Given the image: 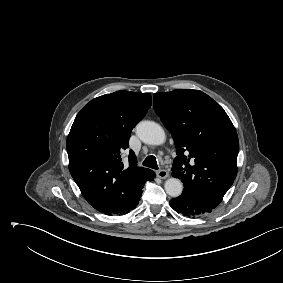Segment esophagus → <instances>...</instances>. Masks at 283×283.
<instances>
[{
	"label": "esophagus",
	"instance_id": "obj_1",
	"mask_svg": "<svg viewBox=\"0 0 283 283\" xmlns=\"http://www.w3.org/2000/svg\"><path fill=\"white\" fill-rule=\"evenodd\" d=\"M157 176L161 179H165L169 176V172L165 169H160L156 172Z\"/></svg>",
	"mask_w": 283,
	"mask_h": 283
}]
</instances>
